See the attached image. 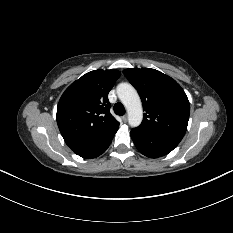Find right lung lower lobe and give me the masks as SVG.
Masks as SVG:
<instances>
[{"label": "right lung lower lobe", "mask_w": 233, "mask_h": 233, "mask_svg": "<svg viewBox=\"0 0 233 233\" xmlns=\"http://www.w3.org/2000/svg\"><path fill=\"white\" fill-rule=\"evenodd\" d=\"M115 133L116 131L89 145L75 147L72 151L86 159L98 157L107 150Z\"/></svg>", "instance_id": "98d812e1"}]
</instances>
